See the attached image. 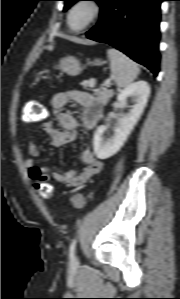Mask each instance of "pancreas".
Wrapping results in <instances>:
<instances>
[{
	"mask_svg": "<svg viewBox=\"0 0 180 299\" xmlns=\"http://www.w3.org/2000/svg\"><path fill=\"white\" fill-rule=\"evenodd\" d=\"M113 92L109 91L107 89L102 88L101 90L96 92V99L99 102L105 103L109 100L110 97H112Z\"/></svg>",
	"mask_w": 180,
	"mask_h": 299,
	"instance_id": "1",
	"label": "pancreas"
}]
</instances>
